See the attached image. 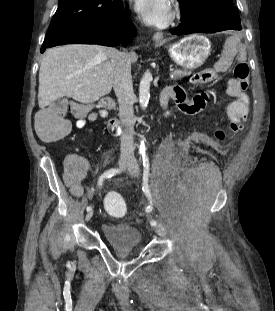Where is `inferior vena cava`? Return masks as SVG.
<instances>
[{
  "mask_svg": "<svg viewBox=\"0 0 275 311\" xmlns=\"http://www.w3.org/2000/svg\"><path fill=\"white\" fill-rule=\"evenodd\" d=\"M113 88L118 99L119 117L123 126L121 134V158L134 160V110L135 94L131 77L129 54L115 51L111 57Z\"/></svg>",
  "mask_w": 275,
  "mask_h": 311,
  "instance_id": "obj_1",
  "label": "inferior vena cava"
}]
</instances>
